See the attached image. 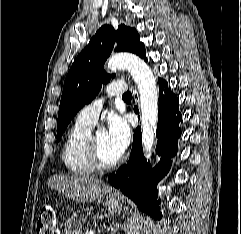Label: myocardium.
<instances>
[{
	"instance_id": "f54148a6",
	"label": "myocardium",
	"mask_w": 241,
	"mask_h": 234,
	"mask_svg": "<svg viewBox=\"0 0 241 234\" xmlns=\"http://www.w3.org/2000/svg\"><path fill=\"white\" fill-rule=\"evenodd\" d=\"M87 155L91 165L99 171H108L114 169L115 167L119 166L125 159V156L121 154L113 162H105L101 157L99 146L94 134H90L88 137Z\"/></svg>"
}]
</instances>
